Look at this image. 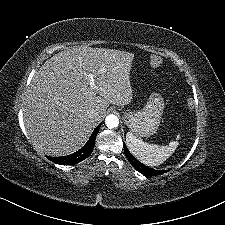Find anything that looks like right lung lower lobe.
<instances>
[{"label":"right lung lower lobe","mask_w":225,"mask_h":225,"mask_svg":"<svg viewBox=\"0 0 225 225\" xmlns=\"http://www.w3.org/2000/svg\"><path fill=\"white\" fill-rule=\"evenodd\" d=\"M101 124H99L95 130L93 131L91 137L87 141V143L79 149L77 152L67 155V156H62V157H48L49 160L58 163V164H63V165H72L79 163L86 159L92 152L94 145H95V139L96 136L99 132Z\"/></svg>","instance_id":"1"}]
</instances>
